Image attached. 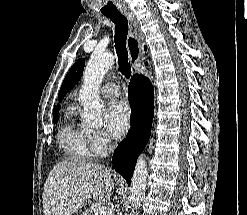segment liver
Returning a JSON list of instances; mask_svg holds the SVG:
<instances>
[{"mask_svg": "<svg viewBox=\"0 0 247 215\" xmlns=\"http://www.w3.org/2000/svg\"><path fill=\"white\" fill-rule=\"evenodd\" d=\"M116 178L99 164L61 162L51 170L43 191L45 215H72L85 204L101 207L110 199Z\"/></svg>", "mask_w": 247, "mask_h": 215, "instance_id": "6515ba94", "label": "liver"}]
</instances>
